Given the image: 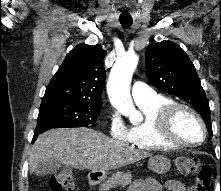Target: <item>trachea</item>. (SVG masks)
<instances>
[{"mask_svg": "<svg viewBox=\"0 0 221 191\" xmlns=\"http://www.w3.org/2000/svg\"><path fill=\"white\" fill-rule=\"evenodd\" d=\"M119 21L124 28H129L133 23L132 19H121L120 18Z\"/></svg>", "mask_w": 221, "mask_h": 191, "instance_id": "obj_1", "label": "trachea"}]
</instances>
